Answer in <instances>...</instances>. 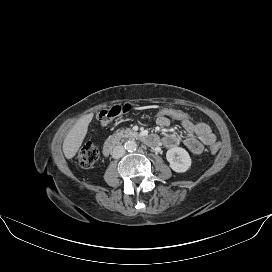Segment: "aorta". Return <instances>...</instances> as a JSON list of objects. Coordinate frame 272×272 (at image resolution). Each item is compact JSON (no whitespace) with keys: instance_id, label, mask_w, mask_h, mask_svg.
<instances>
[{"instance_id":"762f6f07","label":"aorta","mask_w":272,"mask_h":272,"mask_svg":"<svg viewBox=\"0 0 272 272\" xmlns=\"http://www.w3.org/2000/svg\"><path fill=\"white\" fill-rule=\"evenodd\" d=\"M124 147L128 152H133V151H136L137 149V143L135 140H128L125 143Z\"/></svg>"}]
</instances>
